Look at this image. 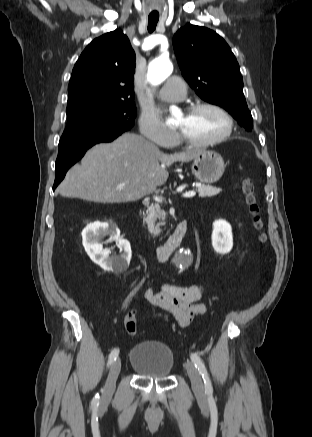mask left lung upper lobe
<instances>
[{"instance_id":"1","label":"left lung upper lobe","mask_w":312,"mask_h":437,"mask_svg":"<svg viewBox=\"0 0 312 437\" xmlns=\"http://www.w3.org/2000/svg\"><path fill=\"white\" fill-rule=\"evenodd\" d=\"M173 46L182 74L195 92L251 130L239 64L225 40L213 30L188 24L176 32Z\"/></svg>"}]
</instances>
